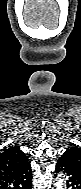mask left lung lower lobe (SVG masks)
Returning a JSON list of instances; mask_svg holds the SVG:
<instances>
[{
  "instance_id": "1",
  "label": "left lung lower lobe",
  "mask_w": 81,
  "mask_h": 189,
  "mask_svg": "<svg viewBox=\"0 0 81 189\" xmlns=\"http://www.w3.org/2000/svg\"><path fill=\"white\" fill-rule=\"evenodd\" d=\"M56 173L65 175L67 178V188L81 189V170L73 163L72 159L64 153L57 161Z\"/></svg>"
}]
</instances>
